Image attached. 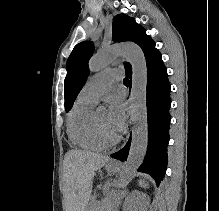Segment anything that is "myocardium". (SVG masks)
<instances>
[{
    "instance_id": "f54148a6",
    "label": "myocardium",
    "mask_w": 219,
    "mask_h": 211,
    "mask_svg": "<svg viewBox=\"0 0 219 211\" xmlns=\"http://www.w3.org/2000/svg\"><path fill=\"white\" fill-rule=\"evenodd\" d=\"M93 124L102 139L109 143H116L120 140V135L117 132L111 133L105 130L98 122L96 115H93Z\"/></svg>"
}]
</instances>
